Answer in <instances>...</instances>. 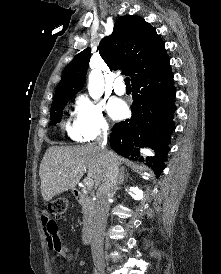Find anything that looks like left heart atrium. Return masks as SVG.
Instances as JSON below:
<instances>
[{
  "label": "left heart atrium",
  "mask_w": 221,
  "mask_h": 274,
  "mask_svg": "<svg viewBox=\"0 0 221 274\" xmlns=\"http://www.w3.org/2000/svg\"><path fill=\"white\" fill-rule=\"evenodd\" d=\"M108 111L113 119L119 120L127 115L128 107L124 101L114 99L109 103Z\"/></svg>",
  "instance_id": "39dd6f15"
}]
</instances>
